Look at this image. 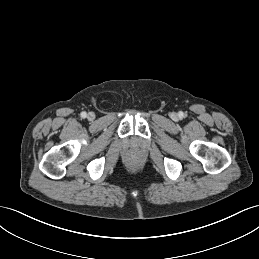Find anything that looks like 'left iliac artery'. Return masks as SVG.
<instances>
[{
    "instance_id": "44dca946",
    "label": "left iliac artery",
    "mask_w": 259,
    "mask_h": 259,
    "mask_svg": "<svg viewBox=\"0 0 259 259\" xmlns=\"http://www.w3.org/2000/svg\"><path fill=\"white\" fill-rule=\"evenodd\" d=\"M179 117H183V112H179Z\"/></svg>"
}]
</instances>
